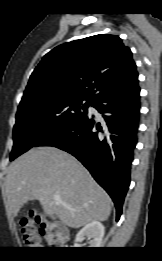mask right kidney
<instances>
[{"instance_id": "obj_1", "label": "right kidney", "mask_w": 162, "mask_h": 261, "mask_svg": "<svg viewBox=\"0 0 162 261\" xmlns=\"http://www.w3.org/2000/svg\"><path fill=\"white\" fill-rule=\"evenodd\" d=\"M104 226L99 221H93L84 226L76 235V242H81L84 237L90 239V248H99L104 236Z\"/></svg>"}]
</instances>
